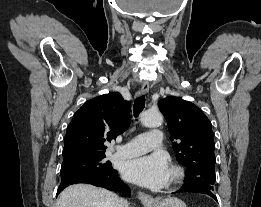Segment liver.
Instances as JSON below:
<instances>
[{
	"mask_svg": "<svg viewBox=\"0 0 261 207\" xmlns=\"http://www.w3.org/2000/svg\"><path fill=\"white\" fill-rule=\"evenodd\" d=\"M120 198L103 188L74 184L59 195L55 207H119Z\"/></svg>",
	"mask_w": 261,
	"mask_h": 207,
	"instance_id": "obj_1",
	"label": "liver"
}]
</instances>
